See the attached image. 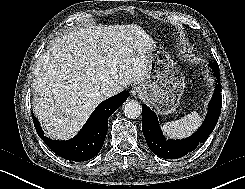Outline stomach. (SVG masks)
Wrapping results in <instances>:
<instances>
[{
    "label": "stomach",
    "mask_w": 245,
    "mask_h": 189,
    "mask_svg": "<svg viewBox=\"0 0 245 189\" xmlns=\"http://www.w3.org/2000/svg\"><path fill=\"white\" fill-rule=\"evenodd\" d=\"M149 61L145 81L140 84V96L152 104L160 115L176 111L184 92L185 80L170 52L157 47L147 54Z\"/></svg>",
    "instance_id": "obj_1"
}]
</instances>
